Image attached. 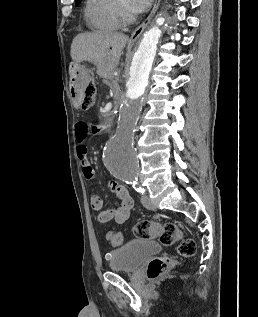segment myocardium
<instances>
[{"mask_svg": "<svg viewBox=\"0 0 258 317\" xmlns=\"http://www.w3.org/2000/svg\"><path fill=\"white\" fill-rule=\"evenodd\" d=\"M136 11L127 2H122L117 11V18L120 25H126L134 22Z\"/></svg>", "mask_w": 258, "mask_h": 317, "instance_id": "f54148a6", "label": "myocardium"}]
</instances>
